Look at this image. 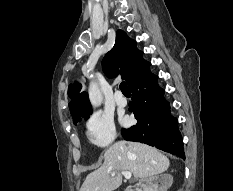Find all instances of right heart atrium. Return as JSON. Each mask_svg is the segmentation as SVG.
<instances>
[{
    "mask_svg": "<svg viewBox=\"0 0 233 191\" xmlns=\"http://www.w3.org/2000/svg\"><path fill=\"white\" fill-rule=\"evenodd\" d=\"M86 133L93 145L99 148L109 146L116 136L112 117L101 112L92 114L86 123Z\"/></svg>",
    "mask_w": 233,
    "mask_h": 191,
    "instance_id": "right-heart-atrium-1",
    "label": "right heart atrium"
}]
</instances>
